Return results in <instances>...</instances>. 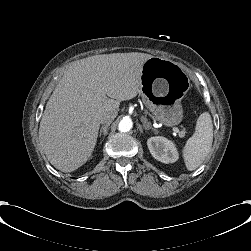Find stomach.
<instances>
[{
	"label": "stomach",
	"mask_w": 251,
	"mask_h": 251,
	"mask_svg": "<svg viewBox=\"0 0 251 251\" xmlns=\"http://www.w3.org/2000/svg\"><path fill=\"white\" fill-rule=\"evenodd\" d=\"M189 88L190 80L177 63L159 57L144 62L139 93L145 106L164 125L174 126L182 121L181 100Z\"/></svg>",
	"instance_id": "1"
}]
</instances>
